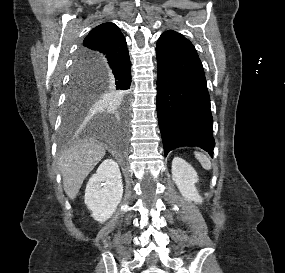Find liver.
I'll list each match as a JSON object with an SVG mask.
<instances>
[{"mask_svg":"<svg viewBox=\"0 0 285 273\" xmlns=\"http://www.w3.org/2000/svg\"><path fill=\"white\" fill-rule=\"evenodd\" d=\"M105 155V145L95 140H84L61 152L58 168L67 196L74 200L84 179Z\"/></svg>","mask_w":285,"mask_h":273,"instance_id":"1","label":"liver"}]
</instances>
